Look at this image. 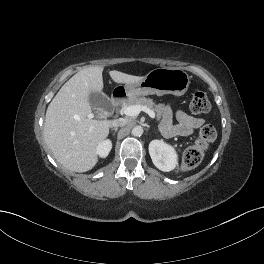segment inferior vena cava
I'll list each match as a JSON object with an SVG mask.
<instances>
[{
    "mask_svg": "<svg viewBox=\"0 0 264 264\" xmlns=\"http://www.w3.org/2000/svg\"><path fill=\"white\" fill-rule=\"evenodd\" d=\"M127 124V121L125 119H116V120H113L112 123H111V127H123Z\"/></svg>",
    "mask_w": 264,
    "mask_h": 264,
    "instance_id": "obj_1",
    "label": "inferior vena cava"
}]
</instances>
